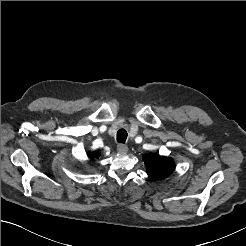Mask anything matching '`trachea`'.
I'll return each instance as SVG.
<instances>
[{"label": "trachea", "mask_w": 246, "mask_h": 246, "mask_svg": "<svg viewBox=\"0 0 246 246\" xmlns=\"http://www.w3.org/2000/svg\"><path fill=\"white\" fill-rule=\"evenodd\" d=\"M127 136H128L127 131L125 129H120L117 132V141L119 143H125Z\"/></svg>", "instance_id": "trachea-1"}]
</instances>
